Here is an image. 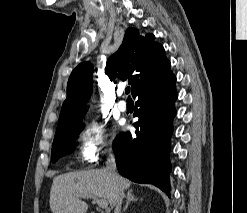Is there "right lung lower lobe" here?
Segmentation results:
<instances>
[{
  "mask_svg": "<svg viewBox=\"0 0 247 213\" xmlns=\"http://www.w3.org/2000/svg\"><path fill=\"white\" fill-rule=\"evenodd\" d=\"M176 78L170 67L139 87L134 116L139 117L136 136L120 133L113 144L119 173L137 183L153 184L169 197V161L172 121L176 115Z\"/></svg>",
  "mask_w": 247,
  "mask_h": 213,
  "instance_id": "right-lung-lower-lobe-1",
  "label": "right lung lower lobe"
}]
</instances>
